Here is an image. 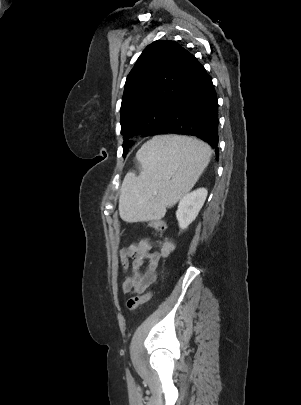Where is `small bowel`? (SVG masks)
<instances>
[{
	"label": "small bowel",
	"mask_w": 301,
	"mask_h": 405,
	"mask_svg": "<svg viewBox=\"0 0 301 405\" xmlns=\"http://www.w3.org/2000/svg\"><path fill=\"white\" fill-rule=\"evenodd\" d=\"M158 251H151L149 239L143 238L120 250V259L128 270V275L122 285V292L143 293L155 282L157 270L161 259L169 257L175 246L168 237L157 241ZM145 267L144 271L142 268Z\"/></svg>",
	"instance_id": "c3829d8e"
}]
</instances>
